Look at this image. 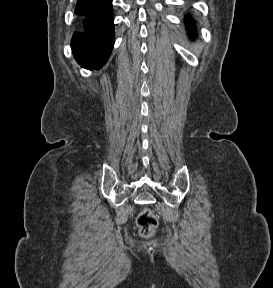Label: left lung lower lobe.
<instances>
[{
	"instance_id": "left-lung-lower-lobe-1",
	"label": "left lung lower lobe",
	"mask_w": 273,
	"mask_h": 288,
	"mask_svg": "<svg viewBox=\"0 0 273 288\" xmlns=\"http://www.w3.org/2000/svg\"><path fill=\"white\" fill-rule=\"evenodd\" d=\"M187 20H188V23H189V20H190V19L188 18ZM191 28H192V27H191Z\"/></svg>"
}]
</instances>
